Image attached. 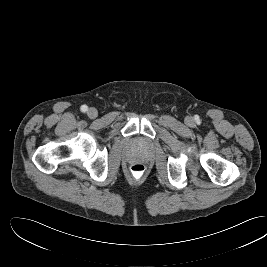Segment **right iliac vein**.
I'll list each match as a JSON object with an SVG mask.
<instances>
[{
	"mask_svg": "<svg viewBox=\"0 0 267 267\" xmlns=\"http://www.w3.org/2000/svg\"><path fill=\"white\" fill-rule=\"evenodd\" d=\"M87 115H88L89 118L94 119V118L97 117V115H98V111H97L96 108L91 107V108H89V110L87 111Z\"/></svg>",
	"mask_w": 267,
	"mask_h": 267,
	"instance_id": "obj_1",
	"label": "right iliac vein"
}]
</instances>
